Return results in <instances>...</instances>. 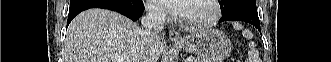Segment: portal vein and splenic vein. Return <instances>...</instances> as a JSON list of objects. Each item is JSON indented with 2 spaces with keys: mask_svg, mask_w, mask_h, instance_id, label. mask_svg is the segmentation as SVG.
Returning a JSON list of instances; mask_svg holds the SVG:
<instances>
[{
  "mask_svg": "<svg viewBox=\"0 0 331 62\" xmlns=\"http://www.w3.org/2000/svg\"><path fill=\"white\" fill-rule=\"evenodd\" d=\"M116 62H124L123 56H117L115 57ZM189 61H192L193 59L191 57L188 58Z\"/></svg>",
  "mask_w": 331,
  "mask_h": 62,
  "instance_id": "1",
  "label": "portal vein and splenic vein"
}]
</instances>
